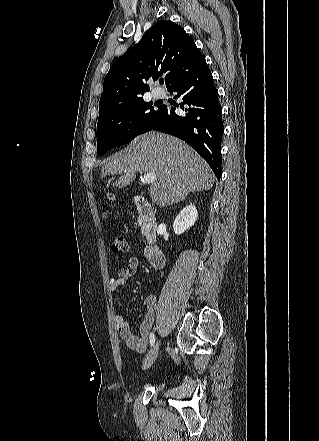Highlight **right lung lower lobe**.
<instances>
[{"label":"right lung lower lobe","instance_id":"98d812e1","mask_svg":"<svg viewBox=\"0 0 319 441\" xmlns=\"http://www.w3.org/2000/svg\"><path fill=\"white\" fill-rule=\"evenodd\" d=\"M168 91L177 92L176 98L183 99L180 108L185 114L178 115L174 107L162 105L161 114L153 128L188 143L207 161L220 179L224 132L222 107L205 59L175 81ZM184 104L188 107L185 108Z\"/></svg>","mask_w":319,"mask_h":441}]
</instances>
